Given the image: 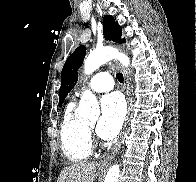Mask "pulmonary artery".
<instances>
[{"label": "pulmonary artery", "instance_id": "e3ab8cb5", "mask_svg": "<svg viewBox=\"0 0 196 182\" xmlns=\"http://www.w3.org/2000/svg\"><path fill=\"white\" fill-rule=\"evenodd\" d=\"M113 79L110 75L100 72L97 73L85 86L76 91V96H80L84 89L101 93L108 92L113 89Z\"/></svg>", "mask_w": 196, "mask_h": 182}]
</instances>
